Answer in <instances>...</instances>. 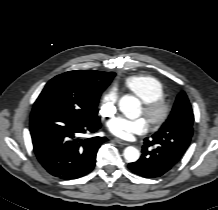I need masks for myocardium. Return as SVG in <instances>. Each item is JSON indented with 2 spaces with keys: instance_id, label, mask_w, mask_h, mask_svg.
<instances>
[{
  "instance_id": "f54148a6",
  "label": "myocardium",
  "mask_w": 218,
  "mask_h": 210,
  "mask_svg": "<svg viewBox=\"0 0 218 210\" xmlns=\"http://www.w3.org/2000/svg\"><path fill=\"white\" fill-rule=\"evenodd\" d=\"M143 113L153 127H159L168 119L170 105L163 97H160L144 102Z\"/></svg>"
}]
</instances>
